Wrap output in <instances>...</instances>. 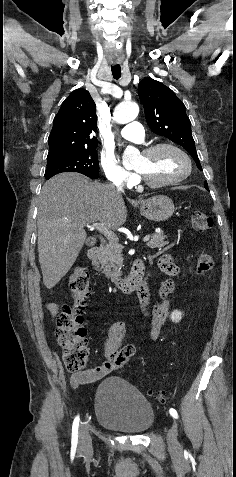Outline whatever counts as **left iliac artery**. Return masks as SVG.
Here are the masks:
<instances>
[{
  "label": "left iliac artery",
  "instance_id": "44dca946",
  "mask_svg": "<svg viewBox=\"0 0 236 477\" xmlns=\"http://www.w3.org/2000/svg\"><path fill=\"white\" fill-rule=\"evenodd\" d=\"M169 413L170 415L174 416L176 419L178 418V413L175 409L170 408Z\"/></svg>",
  "mask_w": 236,
  "mask_h": 477
}]
</instances>
